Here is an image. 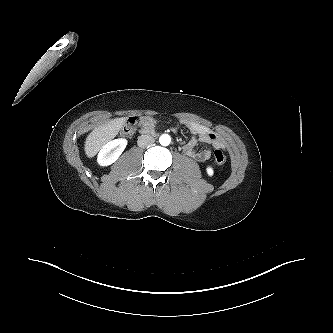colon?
<instances>
[{
    "mask_svg": "<svg viewBox=\"0 0 333 333\" xmlns=\"http://www.w3.org/2000/svg\"><path fill=\"white\" fill-rule=\"evenodd\" d=\"M142 123V121L136 118H130L121 129L120 135L123 137L131 136ZM213 160L216 165H224L226 163V156L221 149H216L213 154Z\"/></svg>",
    "mask_w": 333,
    "mask_h": 333,
    "instance_id": "colon-1",
    "label": "colon"
}]
</instances>
